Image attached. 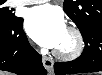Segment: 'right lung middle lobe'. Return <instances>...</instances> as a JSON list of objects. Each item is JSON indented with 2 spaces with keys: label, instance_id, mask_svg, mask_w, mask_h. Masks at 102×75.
<instances>
[{
  "label": "right lung middle lobe",
  "instance_id": "right-lung-middle-lobe-1",
  "mask_svg": "<svg viewBox=\"0 0 102 75\" xmlns=\"http://www.w3.org/2000/svg\"><path fill=\"white\" fill-rule=\"evenodd\" d=\"M5 1H0V23H11L17 19L11 11L8 10V7H3L2 4Z\"/></svg>",
  "mask_w": 102,
  "mask_h": 75
}]
</instances>
